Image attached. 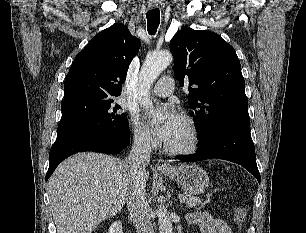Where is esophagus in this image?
<instances>
[{
    "mask_svg": "<svg viewBox=\"0 0 306 233\" xmlns=\"http://www.w3.org/2000/svg\"><path fill=\"white\" fill-rule=\"evenodd\" d=\"M149 7L150 8H156V7H158V4L150 3ZM156 166H157V168H168L169 164L167 162H165L163 159H158L157 162H156Z\"/></svg>",
    "mask_w": 306,
    "mask_h": 233,
    "instance_id": "esophagus-1",
    "label": "esophagus"
}]
</instances>
